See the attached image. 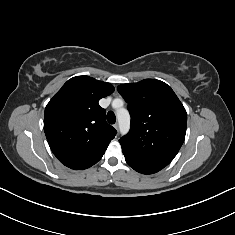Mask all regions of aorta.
<instances>
[{
	"instance_id": "762f6f07",
	"label": "aorta",
	"mask_w": 235,
	"mask_h": 235,
	"mask_svg": "<svg viewBox=\"0 0 235 235\" xmlns=\"http://www.w3.org/2000/svg\"><path fill=\"white\" fill-rule=\"evenodd\" d=\"M119 102H121V100L115 99L113 101V105ZM116 117L119 123V129L121 134L123 135L127 134L130 129V114L128 110L123 107L117 108Z\"/></svg>"
}]
</instances>
